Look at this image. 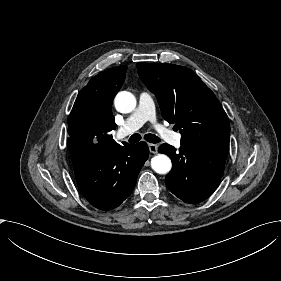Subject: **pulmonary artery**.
Returning <instances> with one entry per match:
<instances>
[{
    "label": "pulmonary artery",
    "instance_id": "obj_1",
    "mask_svg": "<svg viewBox=\"0 0 281 281\" xmlns=\"http://www.w3.org/2000/svg\"><path fill=\"white\" fill-rule=\"evenodd\" d=\"M150 95L147 93L140 94L139 105L133 111V113L127 117L125 123L120 126L115 134V139L117 141L123 140L128 135L132 134L134 131L139 129L146 121L154 120V110H151L144 106L147 101H150ZM170 136V141L174 146H180L181 144V134L174 133L167 129H162Z\"/></svg>",
    "mask_w": 281,
    "mask_h": 281
}]
</instances>
